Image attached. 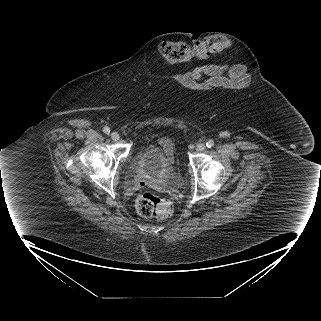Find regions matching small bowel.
<instances>
[{
  "mask_svg": "<svg viewBox=\"0 0 321 321\" xmlns=\"http://www.w3.org/2000/svg\"><path fill=\"white\" fill-rule=\"evenodd\" d=\"M179 79L191 90L213 89L216 86L233 88L250 87L254 83L252 75L247 74L240 65L227 67L224 64H206L199 66L185 75H179ZM164 149L171 153L172 143L168 139L161 141Z\"/></svg>",
  "mask_w": 321,
  "mask_h": 321,
  "instance_id": "c3829d8e",
  "label": "small bowel"
}]
</instances>
